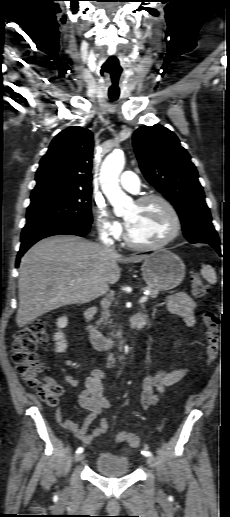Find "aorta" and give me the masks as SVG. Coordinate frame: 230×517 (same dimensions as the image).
Here are the masks:
<instances>
[{
    "instance_id": "1",
    "label": "aorta",
    "mask_w": 230,
    "mask_h": 517,
    "mask_svg": "<svg viewBox=\"0 0 230 517\" xmlns=\"http://www.w3.org/2000/svg\"><path fill=\"white\" fill-rule=\"evenodd\" d=\"M125 165V157L121 151H113L104 160L100 171L101 188L114 207L115 213L123 210L129 197L119 186V175Z\"/></svg>"
}]
</instances>
